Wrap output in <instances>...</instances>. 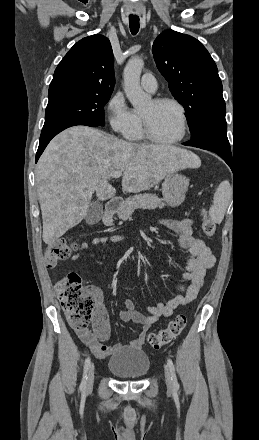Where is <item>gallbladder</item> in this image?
<instances>
[{
	"label": "gallbladder",
	"instance_id": "obj_1",
	"mask_svg": "<svg viewBox=\"0 0 259 440\" xmlns=\"http://www.w3.org/2000/svg\"><path fill=\"white\" fill-rule=\"evenodd\" d=\"M103 217V205L96 201L90 204L89 210L85 216V221L88 225L98 223Z\"/></svg>",
	"mask_w": 259,
	"mask_h": 440
}]
</instances>
